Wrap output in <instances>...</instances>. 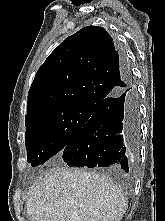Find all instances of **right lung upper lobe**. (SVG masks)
I'll use <instances>...</instances> for the list:
<instances>
[{"label":"right lung upper lobe","mask_w":165,"mask_h":221,"mask_svg":"<svg viewBox=\"0 0 165 221\" xmlns=\"http://www.w3.org/2000/svg\"><path fill=\"white\" fill-rule=\"evenodd\" d=\"M130 81L108 32L84 27L67 37L38 69L25 119L59 106H94Z\"/></svg>","instance_id":"1"}]
</instances>
